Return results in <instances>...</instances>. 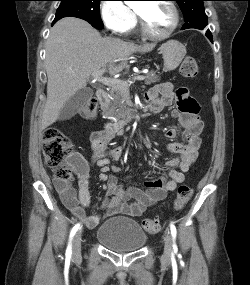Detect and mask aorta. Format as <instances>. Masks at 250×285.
I'll list each match as a JSON object with an SVG mask.
<instances>
[{
	"instance_id": "obj_1",
	"label": "aorta",
	"mask_w": 250,
	"mask_h": 285,
	"mask_svg": "<svg viewBox=\"0 0 250 285\" xmlns=\"http://www.w3.org/2000/svg\"><path fill=\"white\" fill-rule=\"evenodd\" d=\"M126 3H127V4H131V3H132V1H126Z\"/></svg>"
}]
</instances>
